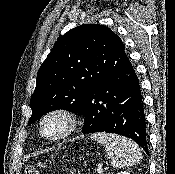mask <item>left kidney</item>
<instances>
[{
    "mask_svg": "<svg viewBox=\"0 0 175 174\" xmlns=\"http://www.w3.org/2000/svg\"><path fill=\"white\" fill-rule=\"evenodd\" d=\"M117 174H130V173H128V172H126V171H122V172L117 173Z\"/></svg>",
    "mask_w": 175,
    "mask_h": 174,
    "instance_id": "1",
    "label": "left kidney"
}]
</instances>
